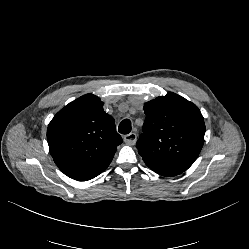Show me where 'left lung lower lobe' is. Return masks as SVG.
Segmentation results:
<instances>
[{
	"instance_id": "1",
	"label": "left lung lower lobe",
	"mask_w": 249,
	"mask_h": 249,
	"mask_svg": "<svg viewBox=\"0 0 249 249\" xmlns=\"http://www.w3.org/2000/svg\"><path fill=\"white\" fill-rule=\"evenodd\" d=\"M149 168H151L153 171H155L156 173L163 175V176H176L181 174L182 172L176 171V170H172V169H168L166 167H162L160 165H151Z\"/></svg>"
}]
</instances>
